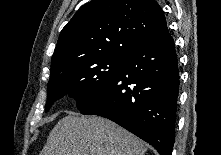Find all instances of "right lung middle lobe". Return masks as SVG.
Masks as SVG:
<instances>
[{
    "label": "right lung middle lobe",
    "mask_w": 221,
    "mask_h": 155,
    "mask_svg": "<svg viewBox=\"0 0 221 155\" xmlns=\"http://www.w3.org/2000/svg\"><path fill=\"white\" fill-rule=\"evenodd\" d=\"M126 55H110L73 62L51 74L47 85V112L53 103L69 93L83 109L114 78Z\"/></svg>",
    "instance_id": "obj_1"
}]
</instances>
